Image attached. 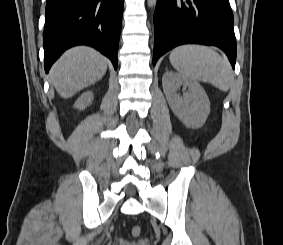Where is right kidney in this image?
<instances>
[{
	"instance_id": "ca27d5eb",
	"label": "right kidney",
	"mask_w": 283,
	"mask_h": 245,
	"mask_svg": "<svg viewBox=\"0 0 283 245\" xmlns=\"http://www.w3.org/2000/svg\"><path fill=\"white\" fill-rule=\"evenodd\" d=\"M93 93L91 91H87L83 93L75 102L74 107L80 110L88 107L93 101Z\"/></svg>"
}]
</instances>
